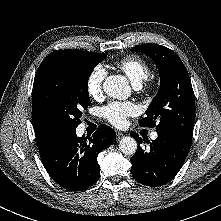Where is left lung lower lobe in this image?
Returning a JSON list of instances; mask_svg holds the SVG:
<instances>
[{
  "label": "left lung lower lobe",
  "mask_w": 221,
  "mask_h": 221,
  "mask_svg": "<svg viewBox=\"0 0 221 221\" xmlns=\"http://www.w3.org/2000/svg\"><path fill=\"white\" fill-rule=\"evenodd\" d=\"M157 133V139L150 143V148L144 150L140 147L142 138L131 132V136L139 143L131 158V173L135 180L150 187L162 186L171 181L181 169L191 147V139L180 134Z\"/></svg>",
  "instance_id": "obj_1"
}]
</instances>
